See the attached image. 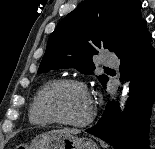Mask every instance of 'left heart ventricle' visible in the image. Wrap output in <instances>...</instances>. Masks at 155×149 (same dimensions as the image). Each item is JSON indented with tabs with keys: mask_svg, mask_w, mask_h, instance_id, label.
Returning a JSON list of instances; mask_svg holds the SVG:
<instances>
[{
	"mask_svg": "<svg viewBox=\"0 0 155 149\" xmlns=\"http://www.w3.org/2000/svg\"><path fill=\"white\" fill-rule=\"evenodd\" d=\"M54 109L66 120L81 121L91 111V102L87 94L77 86H62L51 96Z\"/></svg>",
	"mask_w": 155,
	"mask_h": 149,
	"instance_id": "obj_1",
	"label": "left heart ventricle"
}]
</instances>
